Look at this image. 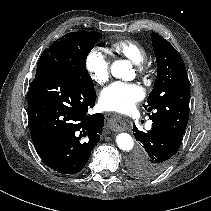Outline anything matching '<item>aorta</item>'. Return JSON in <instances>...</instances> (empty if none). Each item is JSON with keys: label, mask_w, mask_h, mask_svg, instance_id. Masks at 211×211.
<instances>
[{"label": "aorta", "mask_w": 211, "mask_h": 211, "mask_svg": "<svg viewBox=\"0 0 211 211\" xmlns=\"http://www.w3.org/2000/svg\"><path fill=\"white\" fill-rule=\"evenodd\" d=\"M130 69V64L124 60H117L111 66V73L116 78H125ZM118 147L123 151L133 148V138L128 133H120L116 137Z\"/></svg>", "instance_id": "aorta-1"}]
</instances>
